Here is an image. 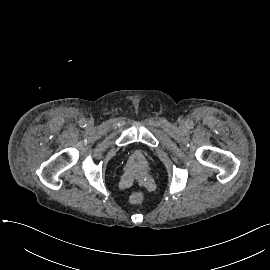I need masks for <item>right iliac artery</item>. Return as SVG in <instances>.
<instances>
[{"label":"right iliac artery","instance_id":"1","mask_svg":"<svg viewBox=\"0 0 270 270\" xmlns=\"http://www.w3.org/2000/svg\"><path fill=\"white\" fill-rule=\"evenodd\" d=\"M79 125H80L81 127H85V126H86V120H84V119L80 120V121H79Z\"/></svg>","mask_w":270,"mask_h":270}]
</instances>
